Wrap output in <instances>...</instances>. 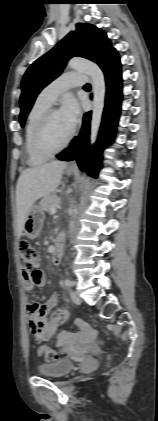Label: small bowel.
I'll return each mask as SVG.
<instances>
[{"mask_svg": "<svg viewBox=\"0 0 158 421\" xmlns=\"http://www.w3.org/2000/svg\"><path fill=\"white\" fill-rule=\"evenodd\" d=\"M23 279L27 288H29V284L31 283L34 284V288H41L46 282L45 275L41 270H36L33 273L23 272ZM56 304V295H52L43 303L28 304L27 312L29 326L35 340L39 342L48 341L57 332L60 325L69 320L70 313L66 309H58L52 315L50 314ZM75 326L78 329V332L62 331L57 335V347H61L66 351L70 349L74 343L86 342L90 339L92 329L86 322L76 320Z\"/></svg>", "mask_w": 158, "mask_h": 421, "instance_id": "c3829d8e", "label": "small bowel"}]
</instances>
